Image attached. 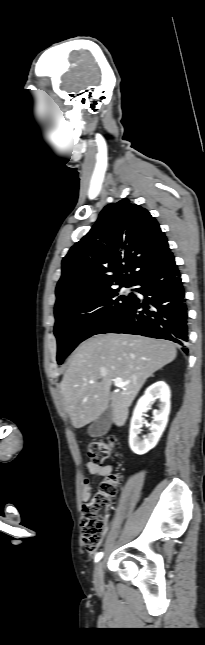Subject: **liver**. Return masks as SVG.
Masks as SVG:
<instances>
[{
  "instance_id": "liver-1",
  "label": "liver",
  "mask_w": 205,
  "mask_h": 645,
  "mask_svg": "<svg viewBox=\"0 0 205 645\" xmlns=\"http://www.w3.org/2000/svg\"><path fill=\"white\" fill-rule=\"evenodd\" d=\"M168 341L129 334H100L74 351L60 388L63 405L74 428L95 421L108 406L112 421L123 426L129 407L146 380L176 358ZM116 378L129 384L111 392Z\"/></svg>"
}]
</instances>
